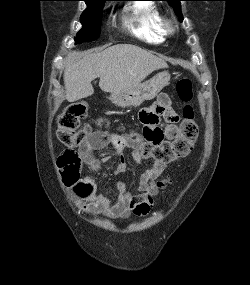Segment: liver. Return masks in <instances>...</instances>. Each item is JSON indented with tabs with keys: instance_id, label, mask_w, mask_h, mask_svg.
Returning a JSON list of instances; mask_svg holds the SVG:
<instances>
[{
	"instance_id": "1",
	"label": "liver",
	"mask_w": 250,
	"mask_h": 285,
	"mask_svg": "<svg viewBox=\"0 0 250 285\" xmlns=\"http://www.w3.org/2000/svg\"><path fill=\"white\" fill-rule=\"evenodd\" d=\"M166 62L131 44H118L96 53L71 52L65 59L66 99L75 102L94 93L91 82L99 77L104 92H120L141 83Z\"/></svg>"
}]
</instances>
